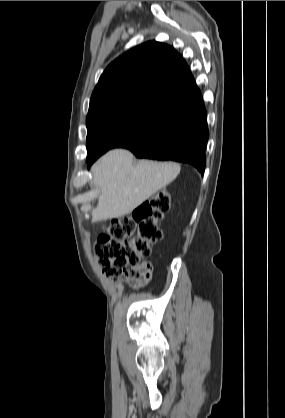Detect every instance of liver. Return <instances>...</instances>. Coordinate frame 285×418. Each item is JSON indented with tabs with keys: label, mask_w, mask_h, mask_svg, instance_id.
I'll return each mask as SVG.
<instances>
[{
	"label": "liver",
	"mask_w": 285,
	"mask_h": 418,
	"mask_svg": "<svg viewBox=\"0 0 285 418\" xmlns=\"http://www.w3.org/2000/svg\"><path fill=\"white\" fill-rule=\"evenodd\" d=\"M173 162L140 160L125 149L106 153L92 166L90 185L99 189L98 204L92 221L119 218L131 213L150 196L171 183L180 173Z\"/></svg>",
	"instance_id": "1"
}]
</instances>
